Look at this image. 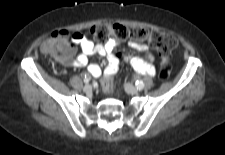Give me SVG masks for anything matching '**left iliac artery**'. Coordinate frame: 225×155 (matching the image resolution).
<instances>
[{
  "mask_svg": "<svg viewBox=\"0 0 225 155\" xmlns=\"http://www.w3.org/2000/svg\"><path fill=\"white\" fill-rule=\"evenodd\" d=\"M135 86L137 87L138 90H142L144 88V83H143V81L137 80L135 82Z\"/></svg>",
  "mask_w": 225,
  "mask_h": 155,
  "instance_id": "left-iliac-artery-1",
  "label": "left iliac artery"
}]
</instances>
